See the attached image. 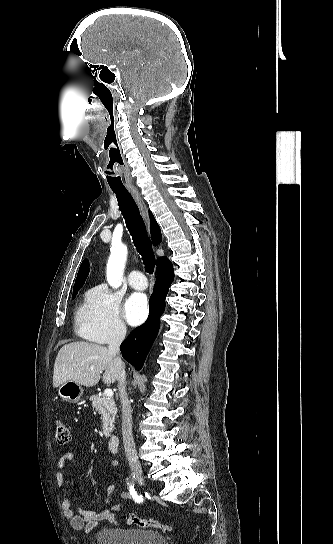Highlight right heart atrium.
I'll list each match as a JSON object with an SVG mask.
<instances>
[{
    "label": "right heart atrium",
    "instance_id": "right-heart-atrium-1",
    "mask_svg": "<svg viewBox=\"0 0 333 544\" xmlns=\"http://www.w3.org/2000/svg\"><path fill=\"white\" fill-rule=\"evenodd\" d=\"M78 327L84 338L95 343L123 340L127 327L119 297L105 286L92 289L79 312Z\"/></svg>",
    "mask_w": 333,
    "mask_h": 544
}]
</instances>
